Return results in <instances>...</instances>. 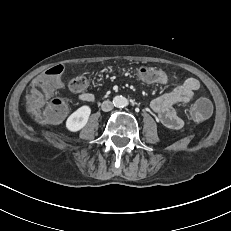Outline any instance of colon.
Returning a JSON list of instances; mask_svg holds the SVG:
<instances>
[{"instance_id":"colon-1","label":"colon","mask_w":231,"mask_h":231,"mask_svg":"<svg viewBox=\"0 0 231 231\" xmlns=\"http://www.w3.org/2000/svg\"><path fill=\"white\" fill-rule=\"evenodd\" d=\"M64 71L63 65H55L50 67L45 75L38 76L34 81V91L32 92L29 104L31 112L40 120L45 122L55 123L62 120L67 111L68 104L62 98H56L50 102L45 112H41L40 105L43 101V95H50L58 90L62 85L60 78ZM139 78L144 83L151 85H162L167 82L168 76L165 71L158 70L151 66H144L138 70ZM89 84L88 78L85 74L75 76L70 88L73 91H83ZM213 105L206 97H199L196 103L191 108L192 116L197 120H206L212 112Z\"/></svg>"}]
</instances>
